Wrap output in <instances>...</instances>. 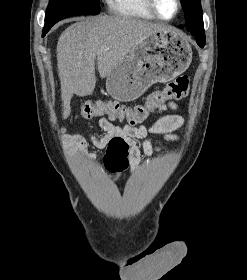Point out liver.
Segmentation results:
<instances>
[{"label": "liver", "instance_id": "6515ba94", "mask_svg": "<svg viewBox=\"0 0 247 280\" xmlns=\"http://www.w3.org/2000/svg\"><path fill=\"white\" fill-rule=\"evenodd\" d=\"M171 28L162 23L124 16L88 18L70 25L57 43L63 118L70 114L74 94L91 95L95 89V60L101 78L146 37Z\"/></svg>", "mask_w": 247, "mask_h": 280}]
</instances>
